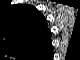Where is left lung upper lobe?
Instances as JSON below:
<instances>
[{
	"label": "left lung upper lobe",
	"mask_w": 80,
	"mask_h": 60,
	"mask_svg": "<svg viewBox=\"0 0 80 60\" xmlns=\"http://www.w3.org/2000/svg\"><path fill=\"white\" fill-rule=\"evenodd\" d=\"M28 8L35 10L36 13H37V10L35 8H33L32 6L31 7L27 6V7L23 8V9H21L22 10L21 11V15L22 14L23 15L27 14ZM24 22H28V24L30 25L33 21L27 15L25 20H24ZM24 22H21V25H23ZM16 41L18 42L19 48H21V49H25V48L30 49L38 41V33H34V32L31 33L30 29H28V30L26 29V31L22 30L19 33V35L17 36V40Z\"/></svg>",
	"instance_id": "1"
}]
</instances>
